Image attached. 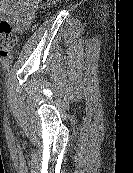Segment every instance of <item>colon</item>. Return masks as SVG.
I'll return each instance as SVG.
<instances>
[{
	"label": "colon",
	"mask_w": 133,
	"mask_h": 173,
	"mask_svg": "<svg viewBox=\"0 0 133 173\" xmlns=\"http://www.w3.org/2000/svg\"><path fill=\"white\" fill-rule=\"evenodd\" d=\"M58 0H39L41 5L49 6L56 3ZM17 42L10 23L6 20H0V56L6 57L13 49Z\"/></svg>",
	"instance_id": "colon-1"
}]
</instances>
